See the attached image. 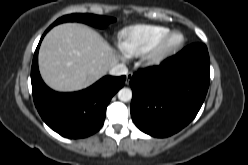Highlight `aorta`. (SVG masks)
<instances>
[{"instance_id": "aorta-1", "label": "aorta", "mask_w": 248, "mask_h": 165, "mask_svg": "<svg viewBox=\"0 0 248 165\" xmlns=\"http://www.w3.org/2000/svg\"><path fill=\"white\" fill-rule=\"evenodd\" d=\"M118 99L123 102H128L132 99V91L129 88H122L118 92Z\"/></svg>"}]
</instances>
